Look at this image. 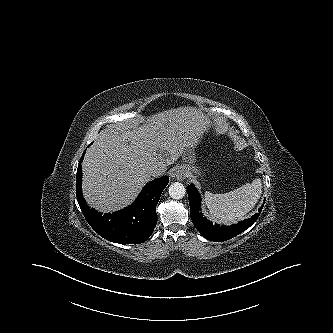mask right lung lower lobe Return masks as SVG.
Masks as SVG:
<instances>
[{"instance_id": "obj_1", "label": "right lung lower lobe", "mask_w": 333, "mask_h": 333, "mask_svg": "<svg viewBox=\"0 0 333 333\" xmlns=\"http://www.w3.org/2000/svg\"><path fill=\"white\" fill-rule=\"evenodd\" d=\"M81 180L82 172L79 164L76 181L77 201L86 221L100 236L119 244H139L151 236L157 224L156 206L169 182L167 176L148 183L129 207L104 215L91 209L85 202Z\"/></svg>"}]
</instances>
